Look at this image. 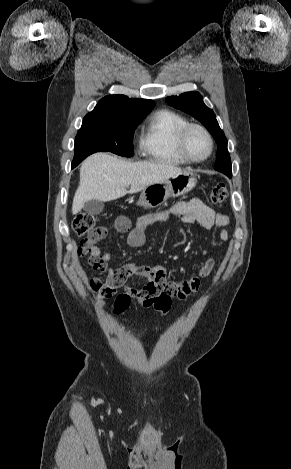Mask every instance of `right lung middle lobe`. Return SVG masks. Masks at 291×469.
Returning <instances> with one entry per match:
<instances>
[{
	"instance_id": "1",
	"label": "right lung middle lobe",
	"mask_w": 291,
	"mask_h": 469,
	"mask_svg": "<svg viewBox=\"0 0 291 469\" xmlns=\"http://www.w3.org/2000/svg\"><path fill=\"white\" fill-rule=\"evenodd\" d=\"M142 119L84 117L75 138L71 167H76L87 156L99 151H109L125 157L133 156L132 137Z\"/></svg>"
}]
</instances>
